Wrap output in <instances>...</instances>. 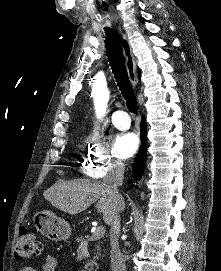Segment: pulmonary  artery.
I'll return each mask as SVG.
<instances>
[{
  "label": "pulmonary artery",
  "instance_id": "pulmonary-artery-1",
  "mask_svg": "<svg viewBox=\"0 0 221 271\" xmlns=\"http://www.w3.org/2000/svg\"><path fill=\"white\" fill-rule=\"evenodd\" d=\"M113 122L119 130H127L130 126L131 117H128V112H112Z\"/></svg>",
  "mask_w": 221,
  "mask_h": 271
}]
</instances>
